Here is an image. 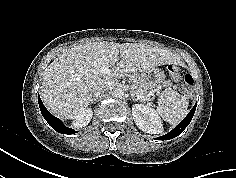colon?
Listing matches in <instances>:
<instances>
[{
  "label": "colon",
  "instance_id": "5ec220e1",
  "mask_svg": "<svg viewBox=\"0 0 236 178\" xmlns=\"http://www.w3.org/2000/svg\"><path fill=\"white\" fill-rule=\"evenodd\" d=\"M168 72L174 80L180 82L181 92L186 96L190 95L194 85L191 75L183 72L181 68L176 65H169Z\"/></svg>",
  "mask_w": 236,
  "mask_h": 178
}]
</instances>
